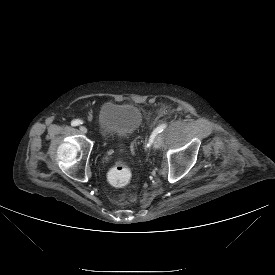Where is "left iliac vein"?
<instances>
[{
  "label": "left iliac vein",
  "instance_id": "obj_1",
  "mask_svg": "<svg viewBox=\"0 0 275 275\" xmlns=\"http://www.w3.org/2000/svg\"><path fill=\"white\" fill-rule=\"evenodd\" d=\"M162 142H163V138L161 135H158L155 139H154V142H153V147L155 149H158L161 147L162 145Z\"/></svg>",
  "mask_w": 275,
  "mask_h": 275
}]
</instances>
